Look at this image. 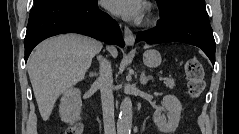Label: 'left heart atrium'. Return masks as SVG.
<instances>
[{
  "instance_id": "1",
  "label": "left heart atrium",
  "mask_w": 239,
  "mask_h": 134,
  "mask_svg": "<svg viewBox=\"0 0 239 134\" xmlns=\"http://www.w3.org/2000/svg\"><path fill=\"white\" fill-rule=\"evenodd\" d=\"M106 6L112 13L130 21H139L145 12V4L141 0H107Z\"/></svg>"
}]
</instances>
